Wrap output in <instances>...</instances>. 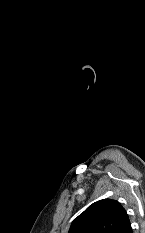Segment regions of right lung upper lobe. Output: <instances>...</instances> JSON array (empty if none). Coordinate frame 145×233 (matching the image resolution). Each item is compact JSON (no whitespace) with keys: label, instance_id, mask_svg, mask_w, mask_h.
I'll use <instances>...</instances> for the list:
<instances>
[{"label":"right lung upper lobe","instance_id":"right-lung-upper-lobe-1","mask_svg":"<svg viewBox=\"0 0 145 233\" xmlns=\"http://www.w3.org/2000/svg\"><path fill=\"white\" fill-rule=\"evenodd\" d=\"M68 233H132L122 205L111 199L91 204L71 224Z\"/></svg>","mask_w":145,"mask_h":233}]
</instances>
